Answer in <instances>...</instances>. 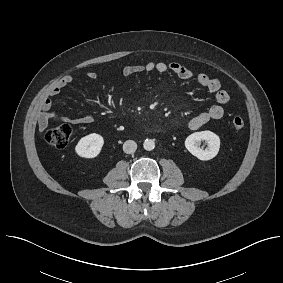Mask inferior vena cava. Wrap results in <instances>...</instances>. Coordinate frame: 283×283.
I'll use <instances>...</instances> for the list:
<instances>
[{
    "mask_svg": "<svg viewBox=\"0 0 283 283\" xmlns=\"http://www.w3.org/2000/svg\"><path fill=\"white\" fill-rule=\"evenodd\" d=\"M137 144L133 140H127L123 144V151L127 154H132L136 151Z\"/></svg>",
    "mask_w": 283,
    "mask_h": 283,
    "instance_id": "1",
    "label": "inferior vena cava"
}]
</instances>
